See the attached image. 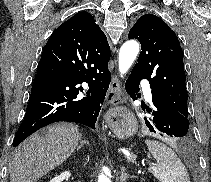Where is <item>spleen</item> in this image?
<instances>
[{
  "label": "spleen",
  "instance_id": "1",
  "mask_svg": "<svg viewBox=\"0 0 211 182\" xmlns=\"http://www.w3.org/2000/svg\"><path fill=\"white\" fill-rule=\"evenodd\" d=\"M145 144L157 161L149 166L156 179L160 182H190L185 166L170 147L155 140H146Z\"/></svg>",
  "mask_w": 211,
  "mask_h": 182
}]
</instances>
